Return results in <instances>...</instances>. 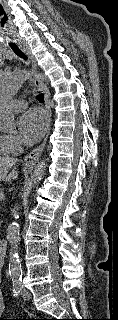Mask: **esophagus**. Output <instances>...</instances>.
Here are the masks:
<instances>
[{"mask_svg": "<svg viewBox=\"0 0 118 320\" xmlns=\"http://www.w3.org/2000/svg\"><path fill=\"white\" fill-rule=\"evenodd\" d=\"M21 48L26 53V55L29 57V59L32 63L33 69L36 70V68H37L36 59H35L34 55L32 54L30 47L27 44H23V45H21ZM33 82H34V85L40 91H42V93L44 94L45 107H46L47 116H48V131H47L46 137L44 138L43 142L38 147L33 149L30 153H28L25 156L24 163H25L26 167H33L34 165H36V163L38 162V160H39V158L45 148L46 141H47L48 135L50 133V123H51V114H52L51 107H50V92H49L48 88L41 80H39L36 77L34 78Z\"/></svg>", "mask_w": 118, "mask_h": 320, "instance_id": "1", "label": "esophagus"}]
</instances>
